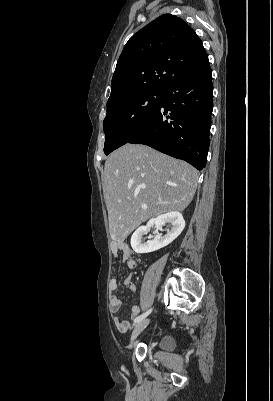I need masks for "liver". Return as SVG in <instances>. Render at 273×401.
<instances>
[{
	"label": "liver",
	"mask_w": 273,
	"mask_h": 401,
	"mask_svg": "<svg viewBox=\"0 0 273 401\" xmlns=\"http://www.w3.org/2000/svg\"><path fill=\"white\" fill-rule=\"evenodd\" d=\"M198 176L188 162L145 144H124L111 152L104 166L103 192L113 243L125 241L152 217L184 211L196 192Z\"/></svg>",
	"instance_id": "obj_1"
}]
</instances>
